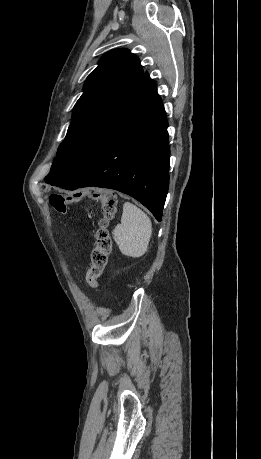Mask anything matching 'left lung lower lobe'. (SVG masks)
Returning a JSON list of instances; mask_svg holds the SVG:
<instances>
[{"instance_id":"0a47b994","label":"left lung lower lobe","mask_w":261,"mask_h":459,"mask_svg":"<svg viewBox=\"0 0 261 459\" xmlns=\"http://www.w3.org/2000/svg\"><path fill=\"white\" fill-rule=\"evenodd\" d=\"M167 127L156 89L101 150L58 187L115 189L140 201L160 221L169 187Z\"/></svg>"}]
</instances>
